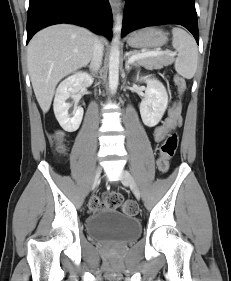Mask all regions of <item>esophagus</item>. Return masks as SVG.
<instances>
[{
    "instance_id": "34e87169",
    "label": "esophagus",
    "mask_w": 231,
    "mask_h": 281,
    "mask_svg": "<svg viewBox=\"0 0 231 281\" xmlns=\"http://www.w3.org/2000/svg\"><path fill=\"white\" fill-rule=\"evenodd\" d=\"M113 14L115 15L118 10L119 0H109Z\"/></svg>"
}]
</instances>
